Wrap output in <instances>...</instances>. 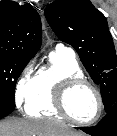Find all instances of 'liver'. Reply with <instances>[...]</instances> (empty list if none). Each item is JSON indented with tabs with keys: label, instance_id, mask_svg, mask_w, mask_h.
Returning <instances> with one entry per match:
<instances>
[{
	"label": "liver",
	"instance_id": "obj_1",
	"mask_svg": "<svg viewBox=\"0 0 117 136\" xmlns=\"http://www.w3.org/2000/svg\"><path fill=\"white\" fill-rule=\"evenodd\" d=\"M0 136H86L64 124L11 118L0 122Z\"/></svg>",
	"mask_w": 117,
	"mask_h": 136
}]
</instances>
